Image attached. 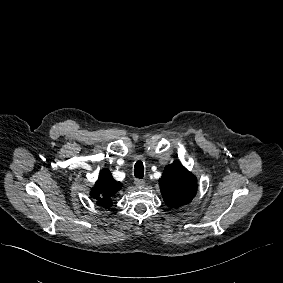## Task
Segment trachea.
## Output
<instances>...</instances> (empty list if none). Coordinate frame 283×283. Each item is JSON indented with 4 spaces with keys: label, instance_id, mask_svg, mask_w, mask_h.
<instances>
[{
    "label": "trachea",
    "instance_id": "trachea-1",
    "mask_svg": "<svg viewBox=\"0 0 283 283\" xmlns=\"http://www.w3.org/2000/svg\"><path fill=\"white\" fill-rule=\"evenodd\" d=\"M134 176L139 179L144 177V166L141 161H137L134 165Z\"/></svg>",
    "mask_w": 283,
    "mask_h": 283
}]
</instances>
